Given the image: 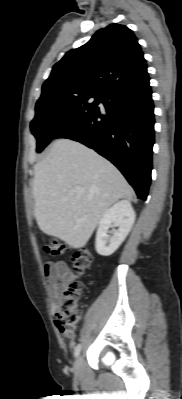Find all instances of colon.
Here are the masks:
<instances>
[{
  "mask_svg": "<svg viewBox=\"0 0 182 399\" xmlns=\"http://www.w3.org/2000/svg\"><path fill=\"white\" fill-rule=\"evenodd\" d=\"M47 253L61 255L67 250V244L57 238H49L44 246ZM92 264L91 252L83 248L75 253L72 266L77 275H83ZM82 289L79 282L71 284L64 296L58 302L55 310V320L58 328L65 336H73L81 319L79 309Z\"/></svg>",
  "mask_w": 182,
  "mask_h": 399,
  "instance_id": "obj_1",
  "label": "colon"
}]
</instances>
